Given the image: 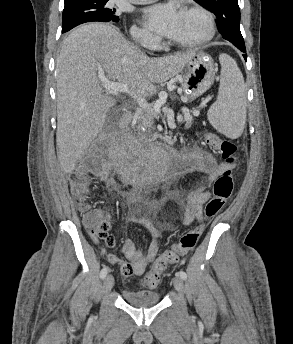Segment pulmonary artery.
I'll return each mask as SVG.
<instances>
[{
	"label": "pulmonary artery",
	"mask_w": 293,
	"mask_h": 344,
	"mask_svg": "<svg viewBox=\"0 0 293 344\" xmlns=\"http://www.w3.org/2000/svg\"><path fill=\"white\" fill-rule=\"evenodd\" d=\"M128 1L134 4H147L155 0H128Z\"/></svg>",
	"instance_id": "obj_1"
}]
</instances>
